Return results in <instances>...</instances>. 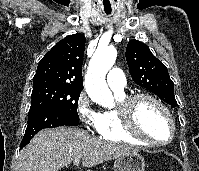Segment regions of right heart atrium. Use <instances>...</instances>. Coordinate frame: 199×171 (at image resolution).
I'll list each match as a JSON object with an SVG mask.
<instances>
[{"label": "right heart atrium", "mask_w": 199, "mask_h": 171, "mask_svg": "<svg viewBox=\"0 0 199 171\" xmlns=\"http://www.w3.org/2000/svg\"><path fill=\"white\" fill-rule=\"evenodd\" d=\"M76 109L84 126L91 131L98 132L101 126V113L94 107L85 92L79 94Z\"/></svg>", "instance_id": "obj_1"}]
</instances>
